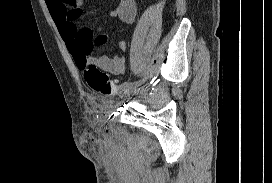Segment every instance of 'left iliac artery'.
Wrapping results in <instances>:
<instances>
[{"label": "left iliac artery", "instance_id": "left-iliac-artery-1", "mask_svg": "<svg viewBox=\"0 0 272 183\" xmlns=\"http://www.w3.org/2000/svg\"><path fill=\"white\" fill-rule=\"evenodd\" d=\"M143 82H144V79L139 80V81H135V82H127V83L122 84L121 89H122V91L125 92V91L129 90L130 88H133V87L137 88V87L141 86L143 84Z\"/></svg>", "mask_w": 272, "mask_h": 183}]
</instances>
